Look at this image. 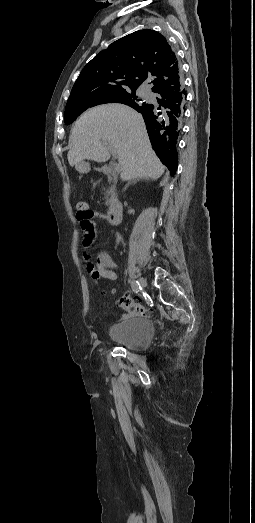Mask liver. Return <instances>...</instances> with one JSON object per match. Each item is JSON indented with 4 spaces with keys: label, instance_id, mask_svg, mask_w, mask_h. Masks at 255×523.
<instances>
[{
    "label": "liver",
    "instance_id": "obj_1",
    "mask_svg": "<svg viewBox=\"0 0 255 523\" xmlns=\"http://www.w3.org/2000/svg\"><path fill=\"white\" fill-rule=\"evenodd\" d=\"M68 162L80 172L83 160L107 162L109 150L122 168L121 180L151 178L164 174L165 166L157 158L141 114L123 104H104L85 112L69 136Z\"/></svg>",
    "mask_w": 255,
    "mask_h": 523
}]
</instances>
